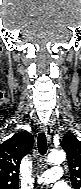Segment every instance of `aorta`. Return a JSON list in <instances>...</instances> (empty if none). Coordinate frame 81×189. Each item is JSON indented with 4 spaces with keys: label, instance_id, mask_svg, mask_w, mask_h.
<instances>
[{
    "label": "aorta",
    "instance_id": "1",
    "mask_svg": "<svg viewBox=\"0 0 81 189\" xmlns=\"http://www.w3.org/2000/svg\"><path fill=\"white\" fill-rule=\"evenodd\" d=\"M65 158L66 155L63 151L54 150L48 155L47 162L50 164H61L65 161Z\"/></svg>",
    "mask_w": 81,
    "mask_h": 189
}]
</instances>
